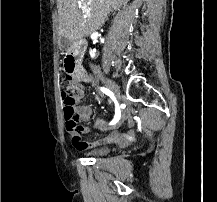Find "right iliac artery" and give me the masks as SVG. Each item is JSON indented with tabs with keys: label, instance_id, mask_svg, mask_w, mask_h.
<instances>
[{
	"label": "right iliac artery",
	"instance_id": "right-iliac-artery-1",
	"mask_svg": "<svg viewBox=\"0 0 217 202\" xmlns=\"http://www.w3.org/2000/svg\"><path fill=\"white\" fill-rule=\"evenodd\" d=\"M100 90L105 93L106 95L110 96L111 100L114 102V104L116 105L115 107V117L114 119L110 122V125H113L115 123H117V121L120 119L121 116V108L118 105L119 103L117 102L113 92H111L109 89L105 88V87H101Z\"/></svg>",
	"mask_w": 217,
	"mask_h": 202
}]
</instances>
